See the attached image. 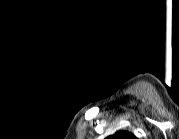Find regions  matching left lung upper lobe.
I'll list each match as a JSON object with an SVG mask.
<instances>
[{
    "mask_svg": "<svg viewBox=\"0 0 179 139\" xmlns=\"http://www.w3.org/2000/svg\"><path fill=\"white\" fill-rule=\"evenodd\" d=\"M112 137L113 139H135V136L127 131H119Z\"/></svg>",
    "mask_w": 179,
    "mask_h": 139,
    "instance_id": "1",
    "label": "left lung upper lobe"
}]
</instances>
